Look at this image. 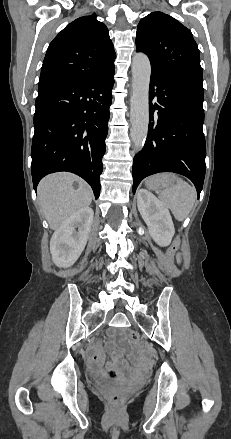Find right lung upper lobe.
Listing matches in <instances>:
<instances>
[{"instance_id": "right-lung-upper-lobe-1", "label": "right lung upper lobe", "mask_w": 231, "mask_h": 439, "mask_svg": "<svg viewBox=\"0 0 231 439\" xmlns=\"http://www.w3.org/2000/svg\"><path fill=\"white\" fill-rule=\"evenodd\" d=\"M116 54L106 25L94 15L67 25L50 43L38 91L83 82L114 65Z\"/></svg>"}]
</instances>
